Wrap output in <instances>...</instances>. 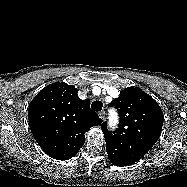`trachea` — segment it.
<instances>
[{"label":"trachea","instance_id":"obj_1","mask_svg":"<svg viewBox=\"0 0 187 187\" xmlns=\"http://www.w3.org/2000/svg\"><path fill=\"white\" fill-rule=\"evenodd\" d=\"M102 107H103V103L101 101H94L92 104H91V108L98 112V111H101L102 110Z\"/></svg>","mask_w":187,"mask_h":187}]
</instances>
